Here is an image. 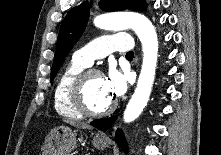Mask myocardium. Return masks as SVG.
<instances>
[{
  "label": "myocardium",
  "mask_w": 221,
  "mask_h": 155,
  "mask_svg": "<svg viewBox=\"0 0 221 155\" xmlns=\"http://www.w3.org/2000/svg\"><path fill=\"white\" fill-rule=\"evenodd\" d=\"M95 75H103L97 68H85L72 81L68 97L73 108L83 116L103 117L113 112L116 107V101H112L109 106L101 111H94L88 107L84 98V89L88 80Z\"/></svg>",
  "instance_id": "1"
}]
</instances>
